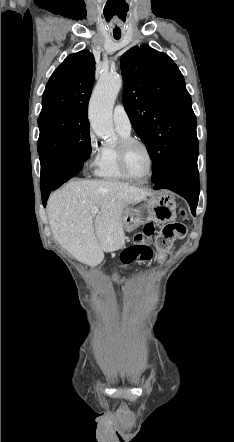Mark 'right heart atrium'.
Masks as SVG:
<instances>
[{
  "mask_svg": "<svg viewBox=\"0 0 234 442\" xmlns=\"http://www.w3.org/2000/svg\"><path fill=\"white\" fill-rule=\"evenodd\" d=\"M101 147L98 144L95 134L90 131L88 134V160L87 165L89 168H96L100 154Z\"/></svg>",
  "mask_w": 234,
  "mask_h": 442,
  "instance_id": "right-heart-atrium-1",
  "label": "right heart atrium"
}]
</instances>
